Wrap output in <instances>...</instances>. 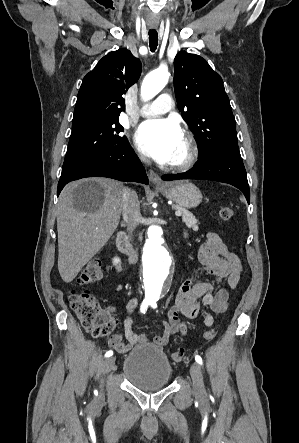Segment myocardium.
I'll return each instance as SVG.
<instances>
[{"label": "myocardium", "mask_w": 299, "mask_h": 443, "mask_svg": "<svg viewBox=\"0 0 299 443\" xmlns=\"http://www.w3.org/2000/svg\"><path fill=\"white\" fill-rule=\"evenodd\" d=\"M184 139L187 143V154L185 158L177 163L167 164L168 168L175 171H185L190 169L198 159L199 148L194 136L190 133L184 135Z\"/></svg>", "instance_id": "obj_1"}]
</instances>
